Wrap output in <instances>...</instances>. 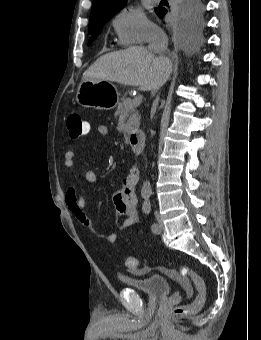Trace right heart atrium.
Masks as SVG:
<instances>
[{
	"label": "right heart atrium",
	"mask_w": 261,
	"mask_h": 340,
	"mask_svg": "<svg viewBox=\"0 0 261 340\" xmlns=\"http://www.w3.org/2000/svg\"><path fill=\"white\" fill-rule=\"evenodd\" d=\"M112 23L120 42L124 45L142 44L160 33L158 27L140 9L134 7L118 11Z\"/></svg>",
	"instance_id": "right-heart-atrium-1"
}]
</instances>
